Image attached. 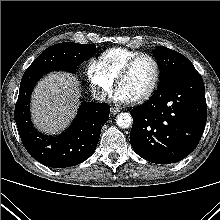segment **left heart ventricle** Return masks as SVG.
I'll return each instance as SVG.
<instances>
[{
	"mask_svg": "<svg viewBox=\"0 0 220 220\" xmlns=\"http://www.w3.org/2000/svg\"><path fill=\"white\" fill-rule=\"evenodd\" d=\"M155 68L148 58L139 59L131 71L122 79L118 89L134 100L145 93L151 86Z\"/></svg>",
	"mask_w": 220,
	"mask_h": 220,
	"instance_id": "b2bd125f",
	"label": "left heart ventricle"
}]
</instances>
